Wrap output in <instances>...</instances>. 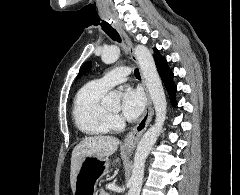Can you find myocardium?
Returning a JSON list of instances; mask_svg holds the SVG:
<instances>
[{
	"instance_id": "1",
	"label": "myocardium",
	"mask_w": 240,
	"mask_h": 195,
	"mask_svg": "<svg viewBox=\"0 0 240 195\" xmlns=\"http://www.w3.org/2000/svg\"><path fill=\"white\" fill-rule=\"evenodd\" d=\"M111 118H114L117 115V112H113L110 108H107Z\"/></svg>"
}]
</instances>
